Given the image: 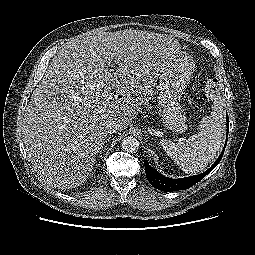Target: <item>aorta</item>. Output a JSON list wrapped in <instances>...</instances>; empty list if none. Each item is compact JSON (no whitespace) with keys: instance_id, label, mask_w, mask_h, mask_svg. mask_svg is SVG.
<instances>
[{"instance_id":"aorta-1","label":"aorta","mask_w":255,"mask_h":255,"mask_svg":"<svg viewBox=\"0 0 255 255\" xmlns=\"http://www.w3.org/2000/svg\"><path fill=\"white\" fill-rule=\"evenodd\" d=\"M122 148L128 153H134L139 148V141L134 136H127L122 140Z\"/></svg>"}]
</instances>
